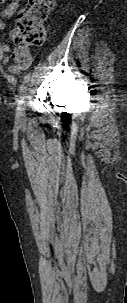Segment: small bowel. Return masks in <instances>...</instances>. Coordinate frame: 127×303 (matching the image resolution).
Masks as SVG:
<instances>
[{
  "label": "small bowel",
  "mask_w": 127,
  "mask_h": 303,
  "mask_svg": "<svg viewBox=\"0 0 127 303\" xmlns=\"http://www.w3.org/2000/svg\"><path fill=\"white\" fill-rule=\"evenodd\" d=\"M23 0H12V2L0 11V30L7 32L5 20L11 18L19 9ZM0 52L5 64H8V71L11 74H19L27 70L32 64V57L25 47L12 49L7 43H0Z\"/></svg>",
  "instance_id": "obj_1"
}]
</instances>
